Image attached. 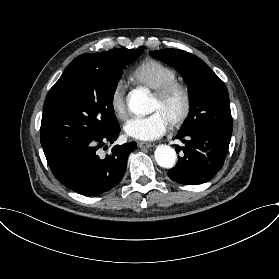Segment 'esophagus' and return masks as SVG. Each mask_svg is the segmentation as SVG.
I'll use <instances>...</instances> for the list:
<instances>
[{"instance_id":"1","label":"esophagus","mask_w":279,"mask_h":279,"mask_svg":"<svg viewBox=\"0 0 279 279\" xmlns=\"http://www.w3.org/2000/svg\"><path fill=\"white\" fill-rule=\"evenodd\" d=\"M137 146L140 147V148H150L152 147V145L148 142H144V141H139L137 143Z\"/></svg>"}]
</instances>
